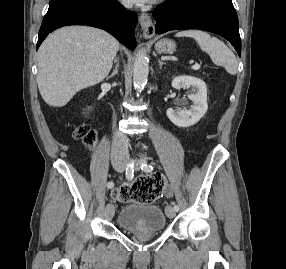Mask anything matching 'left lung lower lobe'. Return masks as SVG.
I'll use <instances>...</instances> for the list:
<instances>
[{"label":"left lung lower lobe","mask_w":286,"mask_h":269,"mask_svg":"<svg viewBox=\"0 0 286 269\" xmlns=\"http://www.w3.org/2000/svg\"><path fill=\"white\" fill-rule=\"evenodd\" d=\"M156 33L200 29L216 33L235 47L241 56V39L232 0H166L153 11Z\"/></svg>","instance_id":"obj_1"}]
</instances>
